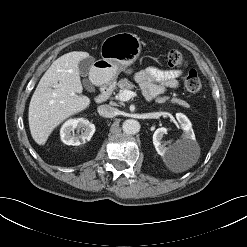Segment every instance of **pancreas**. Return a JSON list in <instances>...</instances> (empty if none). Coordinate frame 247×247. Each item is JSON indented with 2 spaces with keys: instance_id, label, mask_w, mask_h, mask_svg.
I'll use <instances>...</instances> for the list:
<instances>
[{
  "instance_id": "cf45deb5",
  "label": "pancreas",
  "mask_w": 247,
  "mask_h": 247,
  "mask_svg": "<svg viewBox=\"0 0 247 247\" xmlns=\"http://www.w3.org/2000/svg\"><path fill=\"white\" fill-rule=\"evenodd\" d=\"M118 87L120 88V92L124 91V90H131L134 88V84L132 82H130L128 79L124 78V79H121L118 83H117ZM170 99V97L168 96H164V97H158L156 99L157 102L159 103H164L166 101H168ZM170 102L173 103V104H179L183 107H186L188 108L189 107V104L182 100V99H179V98H171L170 99Z\"/></svg>"
}]
</instances>
